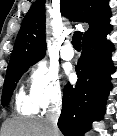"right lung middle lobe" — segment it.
Returning a JSON list of instances; mask_svg holds the SVG:
<instances>
[{
	"label": "right lung middle lobe",
	"instance_id": "1",
	"mask_svg": "<svg viewBox=\"0 0 117 136\" xmlns=\"http://www.w3.org/2000/svg\"><path fill=\"white\" fill-rule=\"evenodd\" d=\"M41 59L42 58L22 60L8 66L2 92V106L9 104L12 93L21 76L29 69L31 65L35 64Z\"/></svg>",
	"mask_w": 117,
	"mask_h": 136
}]
</instances>
